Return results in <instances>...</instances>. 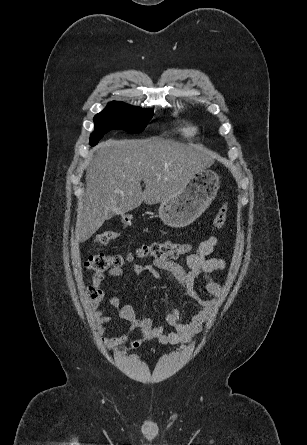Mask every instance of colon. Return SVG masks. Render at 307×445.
Listing matches in <instances>:
<instances>
[{"label":"colon","mask_w":307,"mask_h":445,"mask_svg":"<svg viewBox=\"0 0 307 445\" xmlns=\"http://www.w3.org/2000/svg\"><path fill=\"white\" fill-rule=\"evenodd\" d=\"M227 218L228 207L224 204L211 222L212 229L218 230L223 227L227 221ZM122 224L125 227H130L133 224V216H123ZM118 236V231L104 230L96 236L95 242L99 245H107L117 239ZM190 250L191 246L189 244L178 243L171 240H164L151 244L141 245L136 251V256L140 259H175L179 256L187 254L188 252H190ZM132 259V256L125 257L117 253H90L87 256L84 265L86 266V268L96 273H104L113 268H121L127 261H130ZM88 294L93 300L97 297V290L93 287V285H90L88 287Z\"/></svg>","instance_id":"obj_1"}]
</instances>
